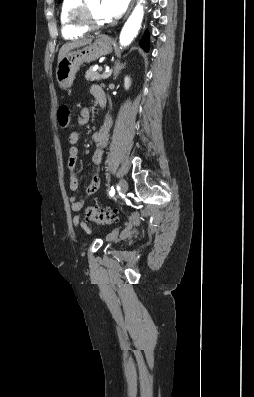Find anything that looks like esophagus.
<instances>
[{
    "label": "esophagus",
    "instance_id": "obj_1",
    "mask_svg": "<svg viewBox=\"0 0 254 397\" xmlns=\"http://www.w3.org/2000/svg\"><path fill=\"white\" fill-rule=\"evenodd\" d=\"M134 3H135V0H132V1H131V4H130V7H129L128 11H127V14H126V16H125V18H127V16L129 15V13L131 12V10H132V8H133V6H134Z\"/></svg>",
    "mask_w": 254,
    "mask_h": 397
}]
</instances>
